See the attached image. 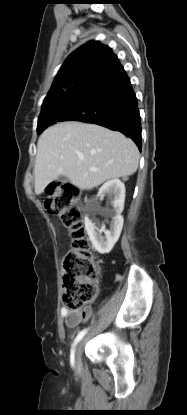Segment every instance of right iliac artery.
I'll return each mask as SVG.
<instances>
[{
  "label": "right iliac artery",
  "mask_w": 187,
  "mask_h": 415,
  "mask_svg": "<svg viewBox=\"0 0 187 415\" xmlns=\"http://www.w3.org/2000/svg\"><path fill=\"white\" fill-rule=\"evenodd\" d=\"M86 333H87V329L82 330L81 332H79V334L77 335V337L74 340L73 347H72V350H71V363L72 364H74L75 347L78 344V342L85 336Z\"/></svg>",
  "instance_id": "obj_1"
}]
</instances>
